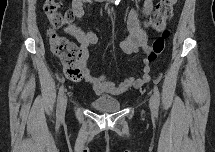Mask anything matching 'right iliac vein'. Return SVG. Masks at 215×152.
<instances>
[{"label": "right iliac vein", "instance_id": "63e3f726", "mask_svg": "<svg viewBox=\"0 0 215 152\" xmlns=\"http://www.w3.org/2000/svg\"><path fill=\"white\" fill-rule=\"evenodd\" d=\"M67 100H68V97L67 95H65L63 97V100H62V106H61V118L64 117V114H65V110H66V106H67Z\"/></svg>", "mask_w": 215, "mask_h": 152}]
</instances>
